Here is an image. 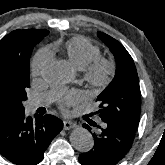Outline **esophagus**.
<instances>
[{
	"mask_svg": "<svg viewBox=\"0 0 165 165\" xmlns=\"http://www.w3.org/2000/svg\"><path fill=\"white\" fill-rule=\"evenodd\" d=\"M75 126H76V124L73 123L72 121H67V120L63 121V127L65 130H70V129L74 128Z\"/></svg>",
	"mask_w": 165,
	"mask_h": 165,
	"instance_id": "1",
	"label": "esophagus"
}]
</instances>
